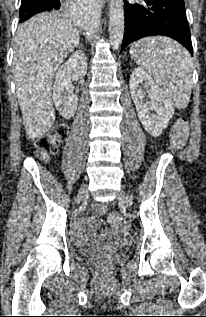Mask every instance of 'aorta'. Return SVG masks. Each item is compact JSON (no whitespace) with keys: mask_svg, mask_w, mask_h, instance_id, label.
Segmentation results:
<instances>
[{"mask_svg":"<svg viewBox=\"0 0 206 317\" xmlns=\"http://www.w3.org/2000/svg\"><path fill=\"white\" fill-rule=\"evenodd\" d=\"M124 3L123 0H110L109 5V36L113 49H118L124 35ZM85 29L93 31L97 28V20L87 11H83L77 19Z\"/></svg>","mask_w":206,"mask_h":317,"instance_id":"obj_1","label":"aorta"}]
</instances>
